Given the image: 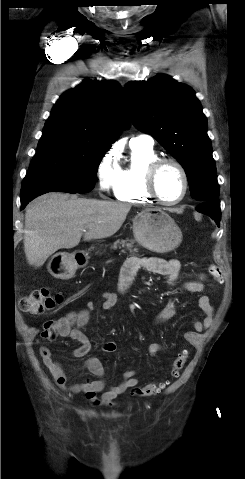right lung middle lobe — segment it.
<instances>
[{"label": "right lung middle lobe", "mask_w": 245, "mask_h": 479, "mask_svg": "<svg viewBox=\"0 0 245 479\" xmlns=\"http://www.w3.org/2000/svg\"><path fill=\"white\" fill-rule=\"evenodd\" d=\"M108 149L70 135L43 132L21 194L33 190L91 191L98 165Z\"/></svg>", "instance_id": "right-lung-middle-lobe-1"}]
</instances>
